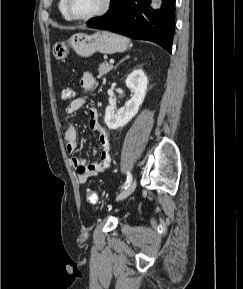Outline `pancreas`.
<instances>
[{
    "instance_id": "1",
    "label": "pancreas",
    "mask_w": 243,
    "mask_h": 289,
    "mask_svg": "<svg viewBox=\"0 0 243 289\" xmlns=\"http://www.w3.org/2000/svg\"><path fill=\"white\" fill-rule=\"evenodd\" d=\"M112 68L113 66L111 64L104 62L99 65L98 71H99V74L102 76V75L107 74L109 71H111Z\"/></svg>"
}]
</instances>
